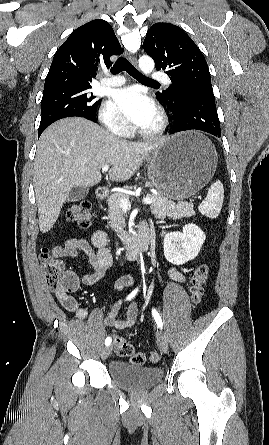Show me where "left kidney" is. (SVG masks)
Returning <instances> with one entry per match:
<instances>
[{
    "mask_svg": "<svg viewBox=\"0 0 269 445\" xmlns=\"http://www.w3.org/2000/svg\"><path fill=\"white\" fill-rule=\"evenodd\" d=\"M204 232L195 224H187L183 232L169 233L164 238V255L167 261L182 265L194 259L205 241Z\"/></svg>",
    "mask_w": 269,
    "mask_h": 445,
    "instance_id": "5707ae66",
    "label": "left kidney"
}]
</instances>
